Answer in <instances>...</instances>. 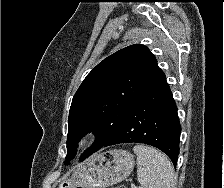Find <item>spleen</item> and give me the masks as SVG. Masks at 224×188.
Segmentation results:
<instances>
[{
  "label": "spleen",
  "mask_w": 224,
  "mask_h": 188,
  "mask_svg": "<svg viewBox=\"0 0 224 188\" xmlns=\"http://www.w3.org/2000/svg\"><path fill=\"white\" fill-rule=\"evenodd\" d=\"M133 150L137 155L140 188H174V169L166 155L144 144L135 145Z\"/></svg>",
  "instance_id": "3e777b00"
}]
</instances>
